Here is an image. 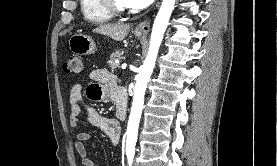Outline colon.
<instances>
[{"label":"colon","instance_id":"colon-1","mask_svg":"<svg viewBox=\"0 0 277 166\" xmlns=\"http://www.w3.org/2000/svg\"><path fill=\"white\" fill-rule=\"evenodd\" d=\"M63 69L66 73L80 74L83 71V61L79 54H72L65 61Z\"/></svg>","mask_w":277,"mask_h":166}]
</instances>
